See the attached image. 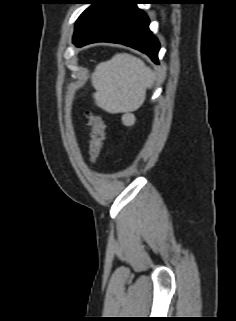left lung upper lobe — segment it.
<instances>
[{
  "label": "left lung upper lobe",
  "mask_w": 236,
  "mask_h": 321,
  "mask_svg": "<svg viewBox=\"0 0 236 321\" xmlns=\"http://www.w3.org/2000/svg\"><path fill=\"white\" fill-rule=\"evenodd\" d=\"M92 1H93V0H83V3L90 4V3H92ZM87 10H88V8L80 15V17H79L78 20L76 21L75 33H76V31H77V29H78V27H79V25H80V23H81L84 15H85V13L87 12ZM75 33H74V34H75Z\"/></svg>",
  "instance_id": "obj_1"
}]
</instances>
